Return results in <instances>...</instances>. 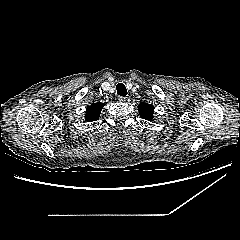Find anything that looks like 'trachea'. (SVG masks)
<instances>
[{
	"mask_svg": "<svg viewBox=\"0 0 240 240\" xmlns=\"http://www.w3.org/2000/svg\"><path fill=\"white\" fill-rule=\"evenodd\" d=\"M117 94L120 96H126L127 95V89L123 83H119L116 86Z\"/></svg>",
	"mask_w": 240,
	"mask_h": 240,
	"instance_id": "obj_1",
	"label": "trachea"
}]
</instances>
